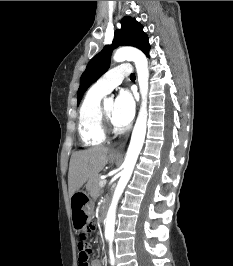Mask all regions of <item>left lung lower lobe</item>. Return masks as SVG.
<instances>
[{
  "instance_id": "obj_1",
  "label": "left lung lower lobe",
  "mask_w": 233,
  "mask_h": 266,
  "mask_svg": "<svg viewBox=\"0 0 233 266\" xmlns=\"http://www.w3.org/2000/svg\"><path fill=\"white\" fill-rule=\"evenodd\" d=\"M148 53H149V50H148V51H147L145 54H146L147 56H149V54H148Z\"/></svg>"
}]
</instances>
